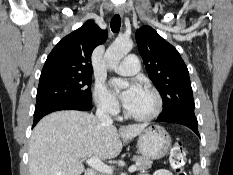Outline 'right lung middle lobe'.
I'll return each instance as SVG.
<instances>
[{
	"label": "right lung middle lobe",
	"mask_w": 233,
	"mask_h": 175,
	"mask_svg": "<svg viewBox=\"0 0 233 175\" xmlns=\"http://www.w3.org/2000/svg\"><path fill=\"white\" fill-rule=\"evenodd\" d=\"M91 82V73L40 78L35 109L54 103L91 104Z\"/></svg>",
	"instance_id": "right-lung-middle-lobe-1"
}]
</instances>
